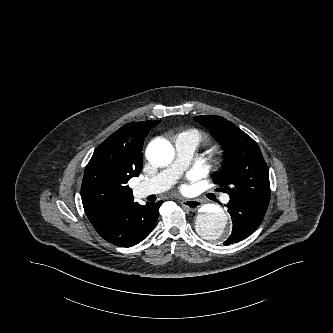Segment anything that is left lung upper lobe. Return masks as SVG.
Segmentation results:
<instances>
[{"label": "left lung upper lobe", "mask_w": 333, "mask_h": 333, "mask_svg": "<svg viewBox=\"0 0 333 333\" xmlns=\"http://www.w3.org/2000/svg\"><path fill=\"white\" fill-rule=\"evenodd\" d=\"M205 126L225 150L221 173L213 175L222 192L230 199L268 208L269 171L258 144L230 121L220 116L194 117Z\"/></svg>", "instance_id": "obj_1"}]
</instances>
